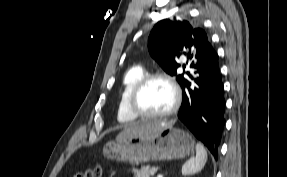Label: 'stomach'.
I'll list each match as a JSON object with an SVG mask.
<instances>
[{"label": "stomach", "mask_w": 287, "mask_h": 177, "mask_svg": "<svg viewBox=\"0 0 287 177\" xmlns=\"http://www.w3.org/2000/svg\"><path fill=\"white\" fill-rule=\"evenodd\" d=\"M194 147L189 133L168 126L153 133L107 142L103 155L109 160L139 164L182 159L192 155Z\"/></svg>", "instance_id": "1"}]
</instances>
